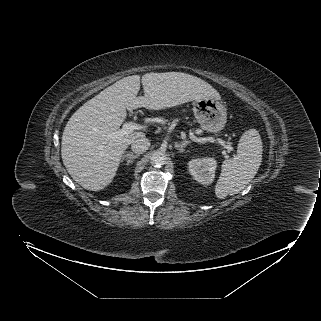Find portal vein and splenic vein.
Masks as SVG:
<instances>
[{"instance_id":"1","label":"portal vein and splenic vein","mask_w":321,"mask_h":321,"mask_svg":"<svg viewBox=\"0 0 321 321\" xmlns=\"http://www.w3.org/2000/svg\"><path fill=\"white\" fill-rule=\"evenodd\" d=\"M145 130L146 129V126H142V125H139V124H136L134 122H126L122 129L121 130H118L116 131L115 133H113V136L116 137V136H119V135H126V134H129V133H132L134 130ZM218 143L220 145H222L224 148H226L228 151H232L233 148L232 146H230L227 142H225L224 140L222 139H218L217 140Z\"/></svg>"}]
</instances>
